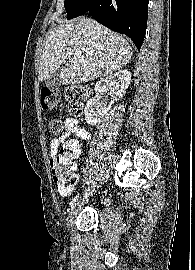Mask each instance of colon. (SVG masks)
Instances as JSON below:
<instances>
[{
  "label": "colon",
  "mask_w": 195,
  "mask_h": 270,
  "mask_svg": "<svg viewBox=\"0 0 195 270\" xmlns=\"http://www.w3.org/2000/svg\"><path fill=\"white\" fill-rule=\"evenodd\" d=\"M89 90L83 85H73L65 89L64 96L68 103L69 112L73 116L82 114ZM41 106L45 111H53L60 102V93L55 90L42 89L40 93ZM48 130L52 135H60L64 125L59 119H51L48 122ZM80 154V146L77 141H66L59 149L53 160L52 174L56 190L61 194H67L77 184L78 177L75 174L74 160Z\"/></svg>",
  "instance_id": "5ec220e1"
}]
</instances>
